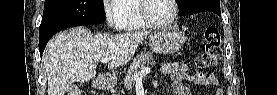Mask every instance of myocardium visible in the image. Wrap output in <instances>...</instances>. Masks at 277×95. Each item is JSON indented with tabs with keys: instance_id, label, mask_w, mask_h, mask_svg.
<instances>
[{
	"instance_id": "myocardium-1",
	"label": "myocardium",
	"mask_w": 277,
	"mask_h": 95,
	"mask_svg": "<svg viewBox=\"0 0 277 95\" xmlns=\"http://www.w3.org/2000/svg\"><path fill=\"white\" fill-rule=\"evenodd\" d=\"M147 1L148 0H140L139 12H140L142 19L145 21V23L148 26L162 28V27H168L174 22V20L177 16V13H178V4H177L176 0H170L173 9H172L171 16L166 21H155L147 15V13H146Z\"/></svg>"
}]
</instances>
